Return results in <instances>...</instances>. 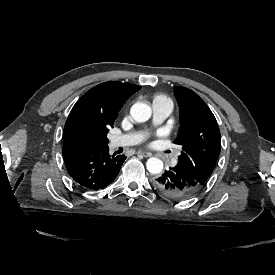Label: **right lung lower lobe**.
Returning a JSON list of instances; mask_svg holds the SVG:
<instances>
[{
	"mask_svg": "<svg viewBox=\"0 0 275 275\" xmlns=\"http://www.w3.org/2000/svg\"><path fill=\"white\" fill-rule=\"evenodd\" d=\"M62 154L67 171L74 181L91 190L111 184L126 159L125 155L110 156L108 146H66Z\"/></svg>",
	"mask_w": 275,
	"mask_h": 275,
	"instance_id": "1",
	"label": "right lung lower lobe"
}]
</instances>
